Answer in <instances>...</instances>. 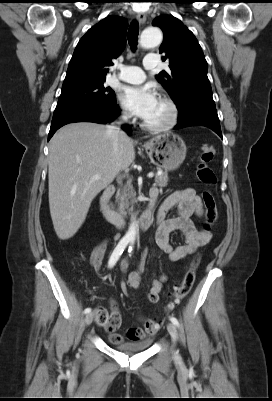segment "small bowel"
Segmentation results:
<instances>
[{"mask_svg": "<svg viewBox=\"0 0 272 401\" xmlns=\"http://www.w3.org/2000/svg\"><path fill=\"white\" fill-rule=\"evenodd\" d=\"M158 193V190L153 188L150 194ZM175 210L173 217L167 218V214ZM203 215L202 202L200 197L192 188H184L174 191L170 194L160 205L157 211V230L155 233L156 245L165 252L171 261H179L194 253L197 249L201 248L211 239V233L206 230H199L194 225L191 217ZM181 232L185 237V242L178 246H173L170 243V235L173 232ZM107 247V241L104 240L98 243L90 254L91 265L99 271L102 265V260ZM147 258V250L141 251V258L138 268L132 271L121 282V289L124 294H128L127 287L138 289L141 287L142 278L141 274L144 270ZM128 261L121 264L122 272H125L128 267ZM167 280L165 274L159 276H152L149 282L147 291V300L150 303H157L163 285ZM112 321L109 325L105 326L109 337L114 342H121L123 337L115 331L120 327L121 316L119 307L116 301L112 300L110 303ZM160 328V324L153 321H144L141 327H130L126 331V338L130 341H141L146 336L156 333Z\"/></svg>", "mask_w": 272, "mask_h": 401, "instance_id": "small-bowel-1", "label": "small bowel"}]
</instances>
